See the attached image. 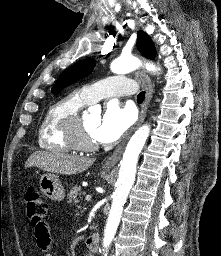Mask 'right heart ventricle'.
Segmentation results:
<instances>
[{"label": "right heart ventricle", "mask_w": 221, "mask_h": 256, "mask_svg": "<svg viewBox=\"0 0 221 256\" xmlns=\"http://www.w3.org/2000/svg\"><path fill=\"white\" fill-rule=\"evenodd\" d=\"M87 104L80 91L71 92L52 104L39 127L40 147L57 152L73 151L69 129L80 109Z\"/></svg>", "instance_id": "e07e8e85"}]
</instances>
